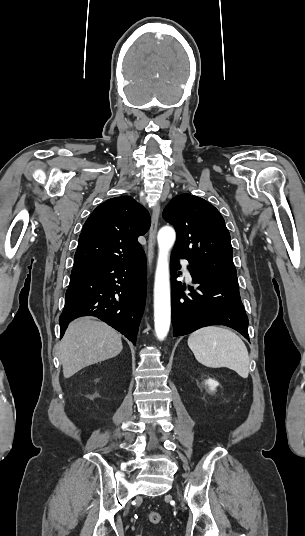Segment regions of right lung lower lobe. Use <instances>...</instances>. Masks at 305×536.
I'll return each mask as SVG.
<instances>
[{
  "label": "right lung lower lobe",
  "mask_w": 305,
  "mask_h": 536,
  "mask_svg": "<svg viewBox=\"0 0 305 536\" xmlns=\"http://www.w3.org/2000/svg\"><path fill=\"white\" fill-rule=\"evenodd\" d=\"M146 300V257L118 260L71 273L65 307L59 318L61 337L81 316H96L136 344Z\"/></svg>",
  "instance_id": "1"
}]
</instances>
